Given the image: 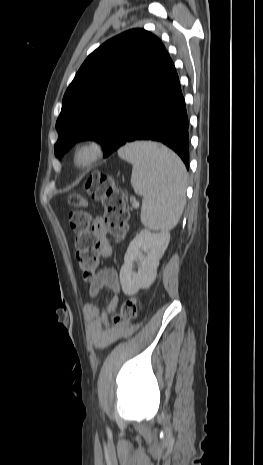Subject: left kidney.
<instances>
[{
    "label": "left kidney",
    "mask_w": 263,
    "mask_h": 465,
    "mask_svg": "<svg viewBox=\"0 0 263 465\" xmlns=\"http://www.w3.org/2000/svg\"><path fill=\"white\" fill-rule=\"evenodd\" d=\"M169 241L168 232L152 233L143 229L130 242L120 270V283L125 295H135L140 289L152 285ZM134 262L138 263V272L133 271Z\"/></svg>",
    "instance_id": "5707ae66"
}]
</instances>
